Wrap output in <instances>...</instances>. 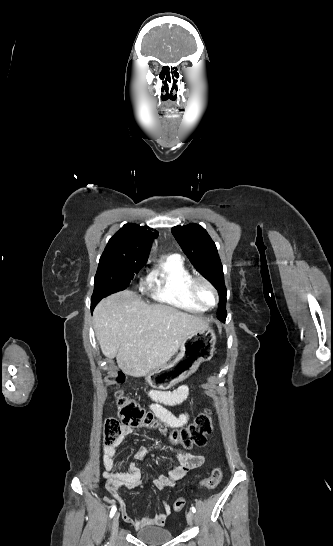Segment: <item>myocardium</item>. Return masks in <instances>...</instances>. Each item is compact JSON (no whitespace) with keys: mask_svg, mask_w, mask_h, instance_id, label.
I'll use <instances>...</instances> for the list:
<instances>
[{"mask_svg":"<svg viewBox=\"0 0 333 546\" xmlns=\"http://www.w3.org/2000/svg\"><path fill=\"white\" fill-rule=\"evenodd\" d=\"M199 283H202V284L206 285L214 293V303L212 305H208L207 303H205L199 297V295H198V293L196 291V286ZM187 290H188V293L191 296V298L196 303H198L200 306H202V307H204L206 309L214 308L218 304V301H219L218 291H217L216 287L214 286V284L204 276H201V275L191 276L190 279L188 280V283H187Z\"/></svg>","mask_w":333,"mask_h":546,"instance_id":"obj_1","label":"myocardium"}]
</instances>
